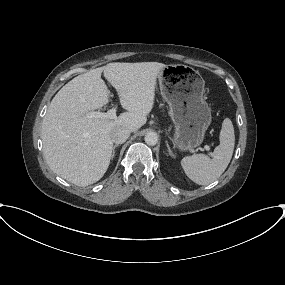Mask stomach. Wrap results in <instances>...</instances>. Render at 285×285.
Returning <instances> with one entry per match:
<instances>
[{
  "mask_svg": "<svg viewBox=\"0 0 285 285\" xmlns=\"http://www.w3.org/2000/svg\"><path fill=\"white\" fill-rule=\"evenodd\" d=\"M158 80L174 125V147L182 152L198 148L212 121L204 99L205 81L197 71L179 64L164 67Z\"/></svg>",
  "mask_w": 285,
  "mask_h": 285,
  "instance_id": "stomach-1",
  "label": "stomach"
}]
</instances>
